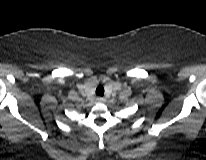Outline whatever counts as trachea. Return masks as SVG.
Returning a JSON list of instances; mask_svg holds the SVG:
<instances>
[{
  "mask_svg": "<svg viewBox=\"0 0 206 160\" xmlns=\"http://www.w3.org/2000/svg\"><path fill=\"white\" fill-rule=\"evenodd\" d=\"M96 95H97V96H100V97L104 95V88H103L102 85H99V86L97 87V89H96Z\"/></svg>",
  "mask_w": 206,
  "mask_h": 160,
  "instance_id": "obj_1",
  "label": "trachea"
}]
</instances>
